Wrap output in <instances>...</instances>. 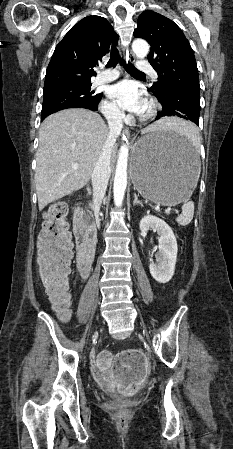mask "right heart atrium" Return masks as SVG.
<instances>
[{
    "instance_id": "obj_1",
    "label": "right heart atrium",
    "mask_w": 233,
    "mask_h": 449,
    "mask_svg": "<svg viewBox=\"0 0 233 449\" xmlns=\"http://www.w3.org/2000/svg\"><path fill=\"white\" fill-rule=\"evenodd\" d=\"M101 111L110 122L119 123L123 120V113L112 101L104 100L101 104Z\"/></svg>"
}]
</instances>
